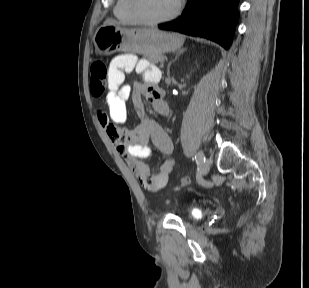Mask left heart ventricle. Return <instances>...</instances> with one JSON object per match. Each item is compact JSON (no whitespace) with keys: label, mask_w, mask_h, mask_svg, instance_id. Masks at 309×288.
I'll use <instances>...</instances> for the list:
<instances>
[{"label":"left heart ventricle","mask_w":309,"mask_h":288,"mask_svg":"<svg viewBox=\"0 0 309 288\" xmlns=\"http://www.w3.org/2000/svg\"><path fill=\"white\" fill-rule=\"evenodd\" d=\"M178 0H141L142 14L150 19H157L168 15L174 10Z\"/></svg>","instance_id":"1"}]
</instances>
